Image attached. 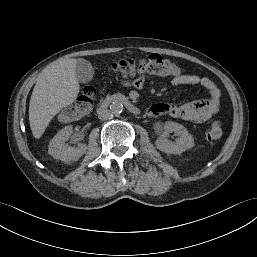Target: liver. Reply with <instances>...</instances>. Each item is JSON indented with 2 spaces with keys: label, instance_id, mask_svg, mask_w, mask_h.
Returning <instances> with one entry per match:
<instances>
[{
  "label": "liver",
  "instance_id": "6515ba94",
  "mask_svg": "<svg viewBox=\"0 0 257 257\" xmlns=\"http://www.w3.org/2000/svg\"><path fill=\"white\" fill-rule=\"evenodd\" d=\"M77 60H57L38 75L29 104V122L34 138L39 139L52 118L78 96Z\"/></svg>",
  "mask_w": 257,
  "mask_h": 257
}]
</instances>
